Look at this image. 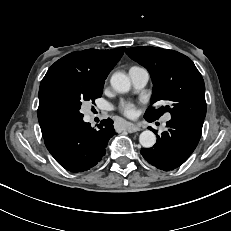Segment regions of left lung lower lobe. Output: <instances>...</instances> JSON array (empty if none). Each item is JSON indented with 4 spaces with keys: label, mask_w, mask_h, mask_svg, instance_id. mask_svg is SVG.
<instances>
[{
    "label": "left lung lower lobe",
    "mask_w": 231,
    "mask_h": 231,
    "mask_svg": "<svg viewBox=\"0 0 231 231\" xmlns=\"http://www.w3.org/2000/svg\"><path fill=\"white\" fill-rule=\"evenodd\" d=\"M149 122L153 119L144 116ZM167 131L157 135L152 148L141 149L142 156L158 169L169 171L182 165L193 153L201 137L202 129L187 122L171 119ZM151 130H153L150 127ZM156 133V131L154 130Z\"/></svg>",
    "instance_id": "1"
}]
</instances>
